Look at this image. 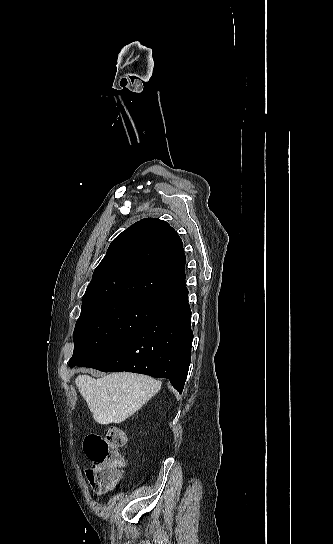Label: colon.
<instances>
[{
    "mask_svg": "<svg viewBox=\"0 0 333 544\" xmlns=\"http://www.w3.org/2000/svg\"><path fill=\"white\" fill-rule=\"evenodd\" d=\"M126 441L125 431L116 426H110L104 436L93 433L85 438L84 453L92 463L86 476L92 486L105 490L119 482L125 465L120 449Z\"/></svg>",
    "mask_w": 333,
    "mask_h": 544,
    "instance_id": "5ec220e1",
    "label": "colon"
}]
</instances>
